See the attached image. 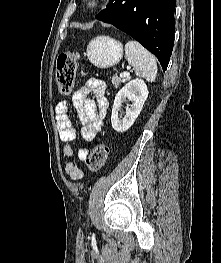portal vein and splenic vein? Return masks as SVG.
I'll use <instances>...</instances> for the list:
<instances>
[{
	"label": "portal vein and splenic vein",
	"mask_w": 221,
	"mask_h": 263,
	"mask_svg": "<svg viewBox=\"0 0 221 263\" xmlns=\"http://www.w3.org/2000/svg\"><path fill=\"white\" fill-rule=\"evenodd\" d=\"M128 69H130V67H128ZM128 76H129V73L127 71H125V72L120 74L121 78H125V77H128Z\"/></svg>",
	"instance_id": "obj_1"
}]
</instances>
